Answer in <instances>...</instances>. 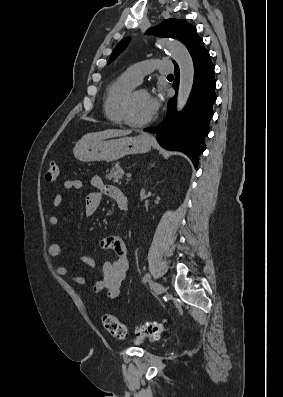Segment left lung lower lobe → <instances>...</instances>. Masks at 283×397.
<instances>
[{
    "label": "left lung lower lobe",
    "mask_w": 283,
    "mask_h": 397,
    "mask_svg": "<svg viewBox=\"0 0 283 397\" xmlns=\"http://www.w3.org/2000/svg\"><path fill=\"white\" fill-rule=\"evenodd\" d=\"M194 64V85L185 110L176 113V99L168 103V113L157 127L145 131L156 133L159 144L168 150L185 153L197 169L199 155L205 150L204 138L209 133V121L213 117L212 106L216 101L214 65L203 44L190 51ZM179 67L175 64L173 88L179 87Z\"/></svg>",
    "instance_id": "obj_1"
}]
</instances>
